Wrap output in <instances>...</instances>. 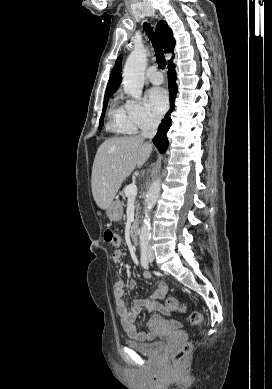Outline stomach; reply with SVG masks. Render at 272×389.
Masks as SVG:
<instances>
[{"instance_id": "1", "label": "stomach", "mask_w": 272, "mask_h": 389, "mask_svg": "<svg viewBox=\"0 0 272 389\" xmlns=\"http://www.w3.org/2000/svg\"><path fill=\"white\" fill-rule=\"evenodd\" d=\"M106 214L111 221H119L123 215V204L119 200L113 201L107 208Z\"/></svg>"}]
</instances>
